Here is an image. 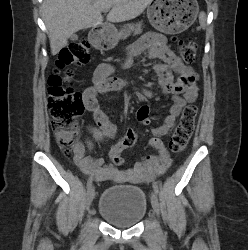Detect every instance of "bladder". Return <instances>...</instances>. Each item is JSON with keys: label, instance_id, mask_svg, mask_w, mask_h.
I'll list each match as a JSON object with an SVG mask.
<instances>
[{"label": "bladder", "instance_id": "1", "mask_svg": "<svg viewBox=\"0 0 248 250\" xmlns=\"http://www.w3.org/2000/svg\"><path fill=\"white\" fill-rule=\"evenodd\" d=\"M147 198L143 189L135 186H115L106 189L98 202V213L109 223L130 228L147 213Z\"/></svg>", "mask_w": 248, "mask_h": 250}]
</instances>
